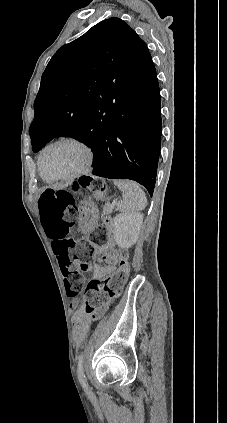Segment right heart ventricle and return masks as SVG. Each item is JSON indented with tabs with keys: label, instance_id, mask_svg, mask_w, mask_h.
Listing matches in <instances>:
<instances>
[{
	"label": "right heart ventricle",
	"instance_id": "obj_1",
	"mask_svg": "<svg viewBox=\"0 0 227 423\" xmlns=\"http://www.w3.org/2000/svg\"><path fill=\"white\" fill-rule=\"evenodd\" d=\"M38 161H39V159H38ZM38 167H39V164H38ZM39 176L41 177V179L43 180V182H45V183H51V182H53V181H51V180H49V179H46L43 175H42V173L40 172V169H39Z\"/></svg>",
	"mask_w": 227,
	"mask_h": 423
}]
</instances>
